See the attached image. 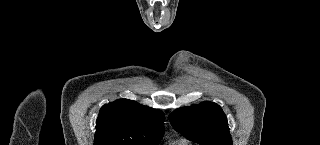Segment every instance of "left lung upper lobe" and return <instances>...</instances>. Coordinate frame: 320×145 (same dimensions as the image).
Masks as SVG:
<instances>
[{
    "label": "left lung upper lobe",
    "mask_w": 320,
    "mask_h": 145,
    "mask_svg": "<svg viewBox=\"0 0 320 145\" xmlns=\"http://www.w3.org/2000/svg\"><path fill=\"white\" fill-rule=\"evenodd\" d=\"M169 120L179 133L200 145H232L227 119L216 103L176 109Z\"/></svg>",
    "instance_id": "5c2ea615"
}]
</instances>
